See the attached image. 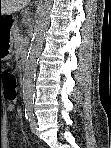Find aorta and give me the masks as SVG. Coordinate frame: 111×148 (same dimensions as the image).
Segmentation results:
<instances>
[{
    "mask_svg": "<svg viewBox=\"0 0 111 148\" xmlns=\"http://www.w3.org/2000/svg\"><path fill=\"white\" fill-rule=\"evenodd\" d=\"M50 8L51 0H44L36 11L33 38L29 48L22 81L23 100L25 103H31L34 99L36 67L42 50L45 31L49 25Z\"/></svg>",
    "mask_w": 111,
    "mask_h": 148,
    "instance_id": "aorta-1",
    "label": "aorta"
}]
</instances>
